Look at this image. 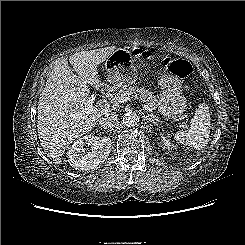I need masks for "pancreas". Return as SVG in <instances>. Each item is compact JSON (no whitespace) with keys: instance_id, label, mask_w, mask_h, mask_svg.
<instances>
[{"instance_id":"1","label":"pancreas","mask_w":245,"mask_h":245,"mask_svg":"<svg viewBox=\"0 0 245 245\" xmlns=\"http://www.w3.org/2000/svg\"><path fill=\"white\" fill-rule=\"evenodd\" d=\"M134 96L140 98L147 105L153 109L160 108L161 101L156 97L151 91L144 88H139L137 86H130L128 88H122L119 92L113 97L112 101L118 103V100L122 97Z\"/></svg>"}]
</instances>
